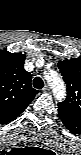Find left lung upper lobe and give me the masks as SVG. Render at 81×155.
Returning <instances> with one entry per match:
<instances>
[{
  "mask_svg": "<svg viewBox=\"0 0 81 155\" xmlns=\"http://www.w3.org/2000/svg\"><path fill=\"white\" fill-rule=\"evenodd\" d=\"M58 67L67 85V96L58 103V112L81 120V59L59 61Z\"/></svg>",
  "mask_w": 81,
  "mask_h": 155,
  "instance_id": "1",
  "label": "left lung upper lobe"
}]
</instances>
